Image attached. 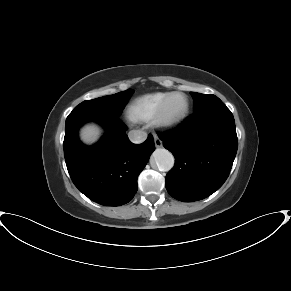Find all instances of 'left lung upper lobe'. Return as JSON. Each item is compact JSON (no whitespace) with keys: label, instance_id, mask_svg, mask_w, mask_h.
<instances>
[{"label":"left lung upper lobe","instance_id":"1","mask_svg":"<svg viewBox=\"0 0 291 291\" xmlns=\"http://www.w3.org/2000/svg\"><path fill=\"white\" fill-rule=\"evenodd\" d=\"M194 100V113L203 111L212 105L221 103L222 101L215 95L211 94H200L196 92H190Z\"/></svg>","mask_w":291,"mask_h":291}]
</instances>
